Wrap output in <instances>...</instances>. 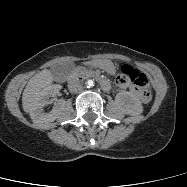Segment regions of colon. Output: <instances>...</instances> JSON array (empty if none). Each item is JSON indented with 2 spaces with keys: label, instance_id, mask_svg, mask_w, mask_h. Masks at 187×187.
<instances>
[{
  "label": "colon",
  "instance_id": "1",
  "mask_svg": "<svg viewBox=\"0 0 187 187\" xmlns=\"http://www.w3.org/2000/svg\"><path fill=\"white\" fill-rule=\"evenodd\" d=\"M120 77L126 78L133 83L134 87L138 90L142 101L148 102L150 100L151 87L149 80L147 79L145 74L140 73L138 70L134 69L130 65H124L121 68V73L118 78Z\"/></svg>",
  "mask_w": 187,
  "mask_h": 187
}]
</instances>
